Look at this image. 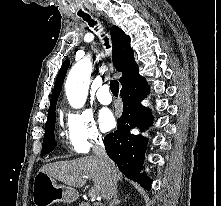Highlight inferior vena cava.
<instances>
[{
    "instance_id": "1",
    "label": "inferior vena cava",
    "mask_w": 221,
    "mask_h": 206,
    "mask_svg": "<svg viewBox=\"0 0 221 206\" xmlns=\"http://www.w3.org/2000/svg\"><path fill=\"white\" fill-rule=\"evenodd\" d=\"M93 152L96 155V157L98 158L101 165L104 168L110 170L111 160L107 156L102 139H94ZM116 188H117L116 179H115V177L110 176L109 181L107 183V187H106V193H105V195H103V198L106 199L107 201L111 200L113 195H115V193H116Z\"/></svg>"
}]
</instances>
